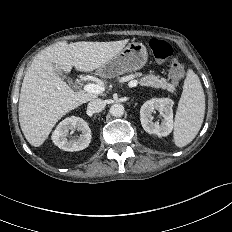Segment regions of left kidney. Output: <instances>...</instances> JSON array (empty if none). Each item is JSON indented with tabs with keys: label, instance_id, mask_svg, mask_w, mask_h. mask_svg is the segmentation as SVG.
<instances>
[{
	"label": "left kidney",
	"instance_id": "1",
	"mask_svg": "<svg viewBox=\"0 0 232 232\" xmlns=\"http://www.w3.org/2000/svg\"><path fill=\"white\" fill-rule=\"evenodd\" d=\"M174 102L169 98H153L146 101L140 109V121L143 129L149 134L157 136H167L173 129ZM158 110L163 114L162 123L152 121V113Z\"/></svg>",
	"mask_w": 232,
	"mask_h": 232
}]
</instances>
